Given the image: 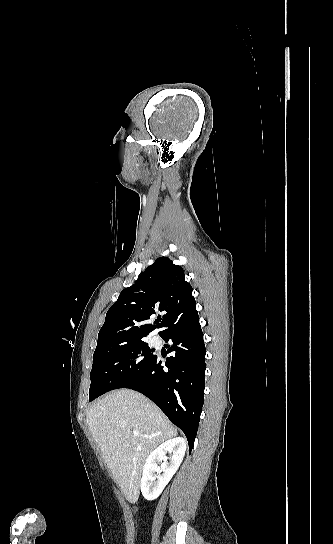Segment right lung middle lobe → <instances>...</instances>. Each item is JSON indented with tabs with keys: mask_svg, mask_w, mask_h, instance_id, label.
<instances>
[{
	"mask_svg": "<svg viewBox=\"0 0 333 544\" xmlns=\"http://www.w3.org/2000/svg\"><path fill=\"white\" fill-rule=\"evenodd\" d=\"M156 356L142 339L108 342L96 348L90 373L89 401L137 380Z\"/></svg>",
	"mask_w": 333,
	"mask_h": 544,
	"instance_id": "right-lung-middle-lobe-1",
	"label": "right lung middle lobe"
}]
</instances>
